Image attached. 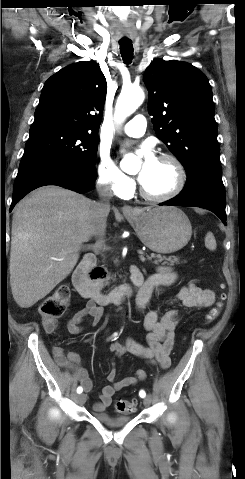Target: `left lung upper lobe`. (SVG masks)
Instances as JSON below:
<instances>
[{
    "instance_id": "5c2ea615",
    "label": "left lung upper lobe",
    "mask_w": 245,
    "mask_h": 479,
    "mask_svg": "<svg viewBox=\"0 0 245 479\" xmlns=\"http://www.w3.org/2000/svg\"><path fill=\"white\" fill-rule=\"evenodd\" d=\"M144 82L157 136L185 167L219 162L212 90L205 74L186 62L153 61Z\"/></svg>"
}]
</instances>
